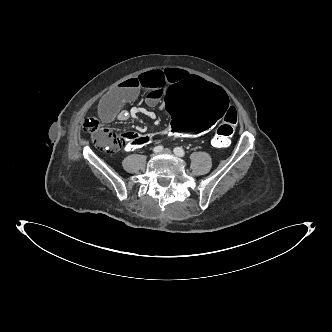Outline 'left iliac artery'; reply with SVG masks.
<instances>
[{"label":"left iliac artery","mask_w":332,"mask_h":332,"mask_svg":"<svg viewBox=\"0 0 332 332\" xmlns=\"http://www.w3.org/2000/svg\"><path fill=\"white\" fill-rule=\"evenodd\" d=\"M174 153L177 156L184 157L185 156V151L181 147H175L174 148Z\"/></svg>","instance_id":"obj_1"}]
</instances>
